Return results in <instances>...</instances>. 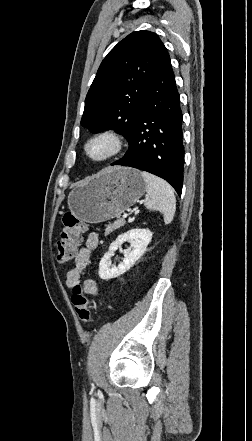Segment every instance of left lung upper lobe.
Listing matches in <instances>:
<instances>
[{
    "mask_svg": "<svg viewBox=\"0 0 252 441\" xmlns=\"http://www.w3.org/2000/svg\"><path fill=\"white\" fill-rule=\"evenodd\" d=\"M164 45L150 31L121 40L104 58L85 99L82 126L113 128L130 141Z\"/></svg>",
    "mask_w": 252,
    "mask_h": 441,
    "instance_id": "1",
    "label": "left lung upper lobe"
}]
</instances>
